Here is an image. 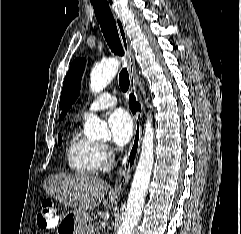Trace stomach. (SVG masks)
I'll use <instances>...</instances> for the list:
<instances>
[{"label":"stomach","mask_w":241,"mask_h":234,"mask_svg":"<svg viewBox=\"0 0 241 234\" xmlns=\"http://www.w3.org/2000/svg\"><path fill=\"white\" fill-rule=\"evenodd\" d=\"M88 229V215L82 210L69 212L59 225L63 234H85Z\"/></svg>","instance_id":"0dacf381"}]
</instances>
